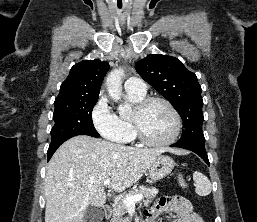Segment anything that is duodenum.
<instances>
[{
    "instance_id": "410a0bca",
    "label": "duodenum",
    "mask_w": 257,
    "mask_h": 222,
    "mask_svg": "<svg viewBox=\"0 0 257 222\" xmlns=\"http://www.w3.org/2000/svg\"><path fill=\"white\" fill-rule=\"evenodd\" d=\"M103 211H104V214L105 216L108 218L111 216V213H112V207L111 205L107 204V205H104L103 206Z\"/></svg>"
}]
</instances>
